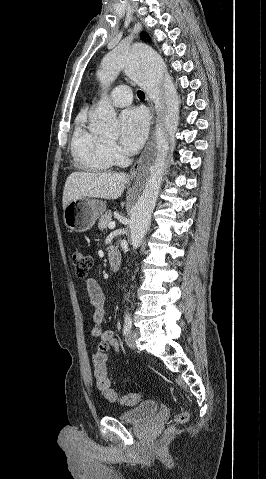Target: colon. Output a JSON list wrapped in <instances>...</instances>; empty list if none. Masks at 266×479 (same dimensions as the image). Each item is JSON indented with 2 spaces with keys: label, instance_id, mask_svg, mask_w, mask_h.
<instances>
[{
  "label": "colon",
  "instance_id": "5ec220e1",
  "mask_svg": "<svg viewBox=\"0 0 266 479\" xmlns=\"http://www.w3.org/2000/svg\"><path fill=\"white\" fill-rule=\"evenodd\" d=\"M71 263L75 269L76 275L80 278H85L88 276L89 270L92 266V258L84 251L74 250L71 254ZM107 350V344L101 342L93 355L94 378L98 390L103 394L104 398L111 403L118 402L127 406L137 404L141 401V392L136 391L124 395H118L112 388L107 365ZM188 418L189 413L185 410H181L176 414L174 423H185ZM174 431L175 425L170 426L167 433L172 434Z\"/></svg>",
  "mask_w": 266,
  "mask_h": 479
}]
</instances>
